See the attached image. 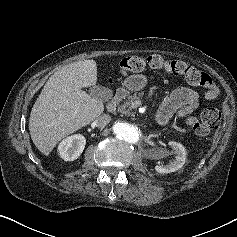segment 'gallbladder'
I'll return each instance as SVG.
<instances>
[{
  "label": "gallbladder",
  "mask_w": 237,
  "mask_h": 237,
  "mask_svg": "<svg viewBox=\"0 0 237 237\" xmlns=\"http://www.w3.org/2000/svg\"><path fill=\"white\" fill-rule=\"evenodd\" d=\"M89 92L103 101H108L112 97L111 90L102 86H93Z\"/></svg>",
  "instance_id": "bac80fb5"
}]
</instances>
